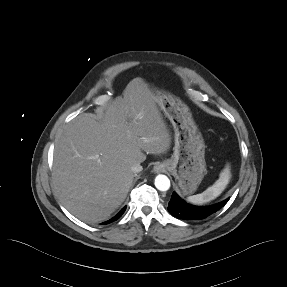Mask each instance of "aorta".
I'll list each match as a JSON object with an SVG mask.
<instances>
[{
  "mask_svg": "<svg viewBox=\"0 0 287 287\" xmlns=\"http://www.w3.org/2000/svg\"><path fill=\"white\" fill-rule=\"evenodd\" d=\"M155 187L160 191H167L170 188V180L166 175L159 174L155 178Z\"/></svg>",
  "mask_w": 287,
  "mask_h": 287,
  "instance_id": "1",
  "label": "aorta"
}]
</instances>
